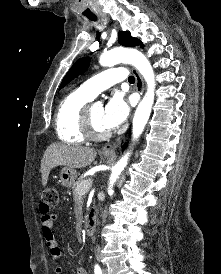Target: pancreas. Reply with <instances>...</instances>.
<instances>
[{
    "instance_id": "pancreas-1",
    "label": "pancreas",
    "mask_w": 221,
    "mask_h": 274,
    "mask_svg": "<svg viewBox=\"0 0 221 274\" xmlns=\"http://www.w3.org/2000/svg\"><path fill=\"white\" fill-rule=\"evenodd\" d=\"M90 179L78 180L74 183L73 189V198L75 201L82 203V197L85 193L81 192V188L86 185Z\"/></svg>"
}]
</instances>
